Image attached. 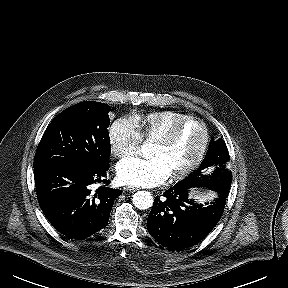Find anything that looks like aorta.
<instances>
[{"instance_id": "1", "label": "aorta", "mask_w": 288, "mask_h": 288, "mask_svg": "<svg viewBox=\"0 0 288 288\" xmlns=\"http://www.w3.org/2000/svg\"><path fill=\"white\" fill-rule=\"evenodd\" d=\"M141 153L143 157H151V147L148 144L143 145ZM132 203L136 208L146 210L153 205V197L148 191H138L132 196Z\"/></svg>"}]
</instances>
